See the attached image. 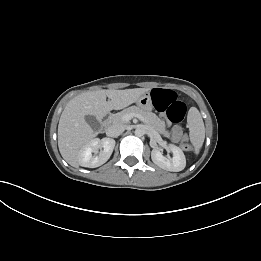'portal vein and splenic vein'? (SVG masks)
<instances>
[{
    "label": "portal vein and splenic vein",
    "mask_w": 261,
    "mask_h": 261,
    "mask_svg": "<svg viewBox=\"0 0 261 261\" xmlns=\"http://www.w3.org/2000/svg\"><path fill=\"white\" fill-rule=\"evenodd\" d=\"M133 117H138L139 119H141L142 121H144L141 116L136 115V114H126V115L123 116V120L129 121V120H131Z\"/></svg>",
    "instance_id": "obj_1"
}]
</instances>
